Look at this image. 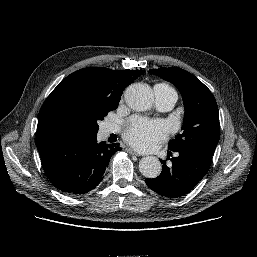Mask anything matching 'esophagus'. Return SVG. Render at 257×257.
Segmentation results:
<instances>
[{"instance_id":"esophagus-1","label":"esophagus","mask_w":257,"mask_h":257,"mask_svg":"<svg viewBox=\"0 0 257 257\" xmlns=\"http://www.w3.org/2000/svg\"><path fill=\"white\" fill-rule=\"evenodd\" d=\"M127 152H128L130 155L140 156L139 153H137L135 150L130 149V148L127 149Z\"/></svg>"}]
</instances>
